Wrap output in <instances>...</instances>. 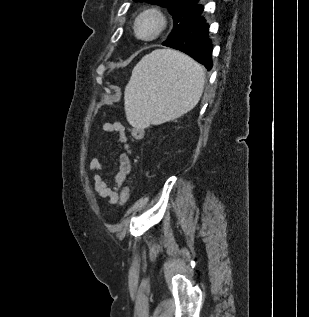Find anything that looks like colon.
<instances>
[{
	"label": "colon",
	"mask_w": 309,
	"mask_h": 317,
	"mask_svg": "<svg viewBox=\"0 0 309 317\" xmlns=\"http://www.w3.org/2000/svg\"><path fill=\"white\" fill-rule=\"evenodd\" d=\"M133 137L135 139H140L143 136V130L140 128H135L132 131ZM130 199V188L129 186H124L121 191L120 201L122 205H126Z\"/></svg>",
	"instance_id": "5ec220e1"
}]
</instances>
